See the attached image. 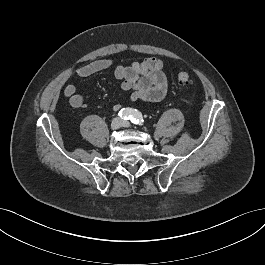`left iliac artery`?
I'll use <instances>...</instances> for the list:
<instances>
[{
  "label": "left iliac artery",
  "mask_w": 265,
  "mask_h": 265,
  "mask_svg": "<svg viewBox=\"0 0 265 265\" xmlns=\"http://www.w3.org/2000/svg\"><path fill=\"white\" fill-rule=\"evenodd\" d=\"M130 120L132 123L138 124V125H143V122H144L141 112H139L136 109L134 110L132 116L130 117Z\"/></svg>",
  "instance_id": "1"
}]
</instances>
